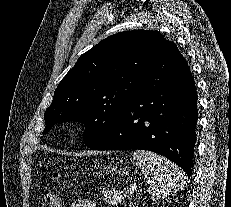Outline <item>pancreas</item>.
Returning <instances> with one entry per match:
<instances>
[{"mask_svg": "<svg viewBox=\"0 0 231 207\" xmlns=\"http://www.w3.org/2000/svg\"><path fill=\"white\" fill-rule=\"evenodd\" d=\"M102 195L105 202L110 205L120 203L125 197V193L118 190H102Z\"/></svg>", "mask_w": 231, "mask_h": 207, "instance_id": "1", "label": "pancreas"}]
</instances>
